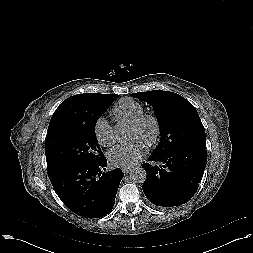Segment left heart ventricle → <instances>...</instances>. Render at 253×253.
Instances as JSON below:
<instances>
[{
	"label": "left heart ventricle",
	"mask_w": 253,
	"mask_h": 253,
	"mask_svg": "<svg viewBox=\"0 0 253 253\" xmlns=\"http://www.w3.org/2000/svg\"><path fill=\"white\" fill-rule=\"evenodd\" d=\"M153 127L151 124H147L142 130H136L130 127L129 130V138H137L142 140L143 142H146L152 134Z\"/></svg>",
	"instance_id": "b2bd125f"
}]
</instances>
